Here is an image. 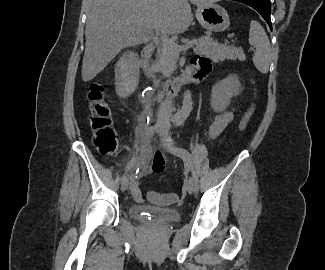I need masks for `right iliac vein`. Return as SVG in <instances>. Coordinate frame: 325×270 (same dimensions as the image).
I'll return each mask as SVG.
<instances>
[{
	"instance_id": "1",
	"label": "right iliac vein",
	"mask_w": 325,
	"mask_h": 270,
	"mask_svg": "<svg viewBox=\"0 0 325 270\" xmlns=\"http://www.w3.org/2000/svg\"><path fill=\"white\" fill-rule=\"evenodd\" d=\"M162 128H163V126H162L161 124H158V125L156 126V130H155V131H156V132H160V131L162 130ZM128 186H129V181H128V179L122 181V183H121V190H122V191L127 190Z\"/></svg>"
}]
</instances>
